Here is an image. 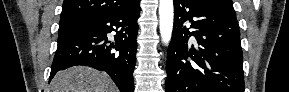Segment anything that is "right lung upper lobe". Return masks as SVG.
Listing matches in <instances>:
<instances>
[{"label": "right lung upper lobe", "mask_w": 289, "mask_h": 92, "mask_svg": "<svg viewBox=\"0 0 289 92\" xmlns=\"http://www.w3.org/2000/svg\"><path fill=\"white\" fill-rule=\"evenodd\" d=\"M135 0H64L60 25L82 24L133 4Z\"/></svg>", "instance_id": "obj_1"}]
</instances>
